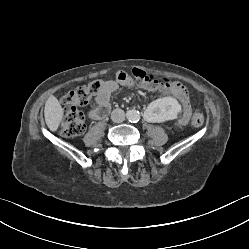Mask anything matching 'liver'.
<instances>
[{
	"label": "liver",
	"mask_w": 249,
	"mask_h": 249,
	"mask_svg": "<svg viewBox=\"0 0 249 249\" xmlns=\"http://www.w3.org/2000/svg\"><path fill=\"white\" fill-rule=\"evenodd\" d=\"M63 115L64 111L60 102L55 96L51 95L47 99L44 109L45 122L50 131L55 132L58 129Z\"/></svg>",
	"instance_id": "obj_1"
}]
</instances>
